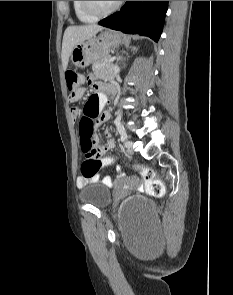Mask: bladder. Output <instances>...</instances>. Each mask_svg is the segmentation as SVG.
I'll use <instances>...</instances> for the list:
<instances>
[{"mask_svg": "<svg viewBox=\"0 0 233 295\" xmlns=\"http://www.w3.org/2000/svg\"><path fill=\"white\" fill-rule=\"evenodd\" d=\"M81 202L91 205L98 209H104L112 201L110 190L100 183L89 184L83 187L79 192ZM123 213H142L148 221H153L154 205L146 198L133 196L127 198L122 204Z\"/></svg>", "mask_w": 233, "mask_h": 295, "instance_id": "bladder-1", "label": "bladder"}]
</instances>
